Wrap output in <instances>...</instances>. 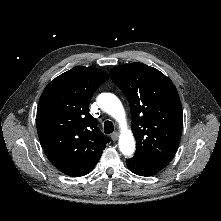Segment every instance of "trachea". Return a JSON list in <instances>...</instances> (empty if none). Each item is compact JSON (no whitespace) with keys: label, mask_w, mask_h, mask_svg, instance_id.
<instances>
[{"label":"trachea","mask_w":221,"mask_h":221,"mask_svg":"<svg viewBox=\"0 0 221 221\" xmlns=\"http://www.w3.org/2000/svg\"><path fill=\"white\" fill-rule=\"evenodd\" d=\"M114 131V126L111 121H105L104 123V132L105 134H111Z\"/></svg>","instance_id":"3493384b"}]
</instances>
